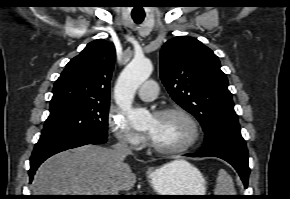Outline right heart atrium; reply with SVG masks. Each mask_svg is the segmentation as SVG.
I'll return each mask as SVG.
<instances>
[{"mask_svg": "<svg viewBox=\"0 0 290 199\" xmlns=\"http://www.w3.org/2000/svg\"><path fill=\"white\" fill-rule=\"evenodd\" d=\"M108 126L117 141L127 147L138 149L145 142L144 136L132 128L125 116L116 111H109Z\"/></svg>", "mask_w": 290, "mask_h": 199, "instance_id": "obj_1", "label": "right heart atrium"}]
</instances>
